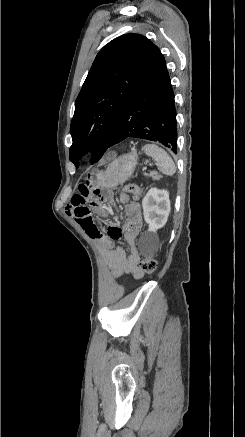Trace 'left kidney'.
I'll return each instance as SVG.
<instances>
[{
    "label": "left kidney",
    "instance_id": "5707ae66",
    "mask_svg": "<svg viewBox=\"0 0 245 437\" xmlns=\"http://www.w3.org/2000/svg\"><path fill=\"white\" fill-rule=\"evenodd\" d=\"M143 215L152 234L162 228L170 213L169 193L166 190L151 188L142 200Z\"/></svg>",
    "mask_w": 245,
    "mask_h": 437
}]
</instances>
